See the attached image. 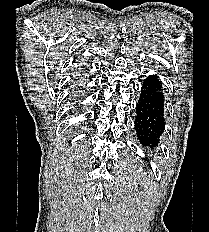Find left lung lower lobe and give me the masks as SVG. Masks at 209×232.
<instances>
[{
	"instance_id": "1",
	"label": "left lung lower lobe",
	"mask_w": 209,
	"mask_h": 232,
	"mask_svg": "<svg viewBox=\"0 0 209 232\" xmlns=\"http://www.w3.org/2000/svg\"><path fill=\"white\" fill-rule=\"evenodd\" d=\"M164 95L157 75H150L142 83L136 105L135 130L143 146L156 147L165 130Z\"/></svg>"
}]
</instances>
